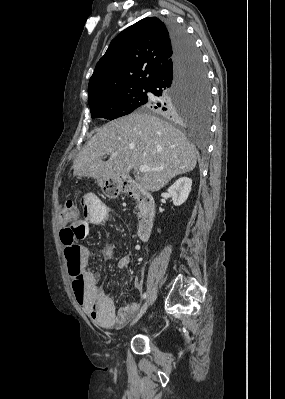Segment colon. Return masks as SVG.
Returning <instances> with one entry per match:
<instances>
[{
  "label": "colon",
  "mask_w": 285,
  "mask_h": 399,
  "mask_svg": "<svg viewBox=\"0 0 285 399\" xmlns=\"http://www.w3.org/2000/svg\"><path fill=\"white\" fill-rule=\"evenodd\" d=\"M107 194L111 190H106ZM81 206L74 203L72 200L64 202L59 210V219L65 221V224L60 228V239L64 245V254L70 262V278L71 289L77 292H82L84 289V281L79 271V250L76 245L79 236L80 223L79 212ZM98 306V305H97Z\"/></svg>",
  "instance_id": "colon-1"
}]
</instances>
